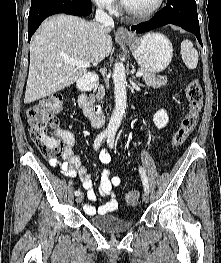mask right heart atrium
<instances>
[{"label": "right heart atrium", "instance_id": "1", "mask_svg": "<svg viewBox=\"0 0 221 263\" xmlns=\"http://www.w3.org/2000/svg\"><path fill=\"white\" fill-rule=\"evenodd\" d=\"M92 2L99 8L108 13H114L117 9V0H92Z\"/></svg>", "mask_w": 221, "mask_h": 263}]
</instances>
